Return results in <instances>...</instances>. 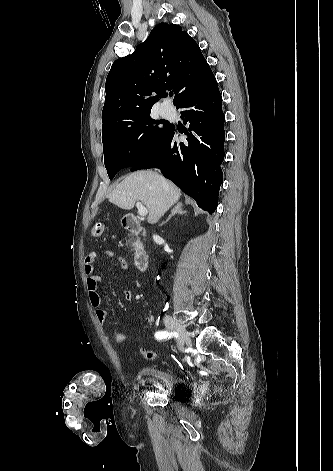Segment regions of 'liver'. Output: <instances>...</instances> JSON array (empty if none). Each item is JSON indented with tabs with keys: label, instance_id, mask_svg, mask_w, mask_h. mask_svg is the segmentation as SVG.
I'll return each instance as SVG.
<instances>
[{
	"label": "liver",
	"instance_id": "liver-1",
	"mask_svg": "<svg viewBox=\"0 0 333 471\" xmlns=\"http://www.w3.org/2000/svg\"><path fill=\"white\" fill-rule=\"evenodd\" d=\"M181 196L180 189L152 170H142L127 176L108 195L109 202L131 210L136 201L148 209L147 221L155 224Z\"/></svg>",
	"mask_w": 333,
	"mask_h": 471
}]
</instances>
